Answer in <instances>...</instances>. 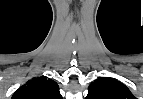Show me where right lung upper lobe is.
<instances>
[{"instance_id": "1", "label": "right lung upper lobe", "mask_w": 143, "mask_h": 99, "mask_svg": "<svg viewBox=\"0 0 143 99\" xmlns=\"http://www.w3.org/2000/svg\"><path fill=\"white\" fill-rule=\"evenodd\" d=\"M12 99H62L58 84L46 76L36 77L22 85Z\"/></svg>"}]
</instances>
